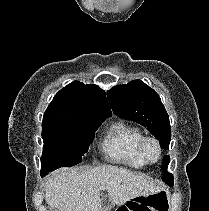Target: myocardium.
Segmentation results:
<instances>
[{"mask_svg": "<svg viewBox=\"0 0 209 211\" xmlns=\"http://www.w3.org/2000/svg\"><path fill=\"white\" fill-rule=\"evenodd\" d=\"M149 145H153L156 148L157 156L155 159H151L147 153V148ZM139 153L143 158L144 162L147 164H155L162 157V147L160 142L152 136H144L139 144Z\"/></svg>", "mask_w": 209, "mask_h": 211, "instance_id": "obj_1", "label": "myocardium"}]
</instances>
